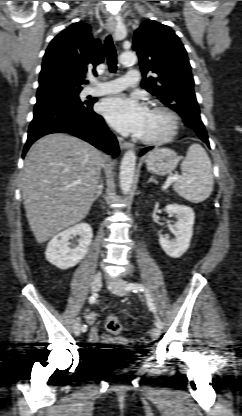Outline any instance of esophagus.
<instances>
[{"label": "esophagus", "instance_id": "34e87169", "mask_svg": "<svg viewBox=\"0 0 242 416\" xmlns=\"http://www.w3.org/2000/svg\"><path fill=\"white\" fill-rule=\"evenodd\" d=\"M107 29L110 33H114L116 29V23L115 22H107ZM119 145L122 149H131L133 148V144L130 142L125 141L123 138L118 137Z\"/></svg>", "mask_w": 242, "mask_h": 416}]
</instances>
